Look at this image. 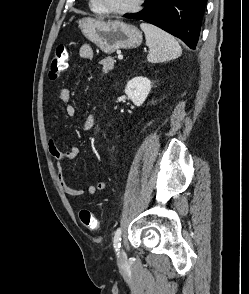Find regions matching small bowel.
<instances>
[{"label":"small bowel","instance_id":"1","mask_svg":"<svg viewBox=\"0 0 249 294\" xmlns=\"http://www.w3.org/2000/svg\"><path fill=\"white\" fill-rule=\"evenodd\" d=\"M79 56L86 61H92L94 58V50L90 45H82L79 49ZM70 98V90L67 87H63L60 90V100L65 108L66 114L73 117L76 115L77 111L75 106L70 103ZM94 123V116L88 115L83 120L81 128L83 131H89L93 128ZM47 145L50 155L56 162L57 179L60 189L65 194L73 198L82 196L84 194V190L70 186L64 176V163L74 160L79 155V148L76 146L61 145L54 135L53 126L51 124L47 126ZM106 187L107 183L105 181H99L95 184L89 185L87 191L89 194L94 195L105 190Z\"/></svg>","mask_w":249,"mask_h":294}]
</instances>
